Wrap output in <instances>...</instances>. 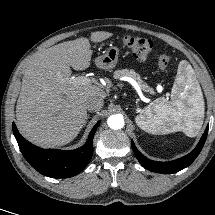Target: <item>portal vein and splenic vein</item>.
Listing matches in <instances>:
<instances>
[{"label": "portal vein and splenic vein", "mask_w": 215, "mask_h": 215, "mask_svg": "<svg viewBox=\"0 0 215 215\" xmlns=\"http://www.w3.org/2000/svg\"><path fill=\"white\" fill-rule=\"evenodd\" d=\"M69 83L73 84V85H89L92 83V80L90 78H88L87 76H78V77H72L69 78Z\"/></svg>", "instance_id": "obj_1"}]
</instances>
